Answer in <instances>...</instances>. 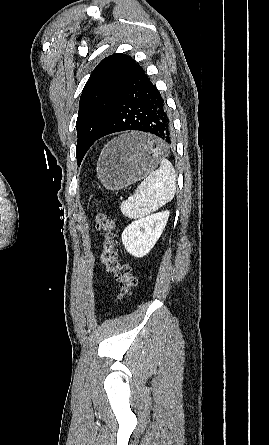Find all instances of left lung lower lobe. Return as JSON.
Returning <instances> with one entry per match:
<instances>
[{
    "mask_svg": "<svg viewBox=\"0 0 269 445\" xmlns=\"http://www.w3.org/2000/svg\"><path fill=\"white\" fill-rule=\"evenodd\" d=\"M125 130L148 132L166 143H171L173 137L166 102L139 65L129 78L116 108L96 140Z\"/></svg>",
    "mask_w": 269,
    "mask_h": 445,
    "instance_id": "1",
    "label": "left lung lower lobe"
}]
</instances>
